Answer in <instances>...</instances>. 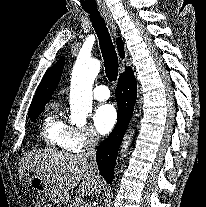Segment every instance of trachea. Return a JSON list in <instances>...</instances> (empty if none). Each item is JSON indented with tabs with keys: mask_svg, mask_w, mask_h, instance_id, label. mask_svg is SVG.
Masks as SVG:
<instances>
[{
	"mask_svg": "<svg viewBox=\"0 0 206 207\" xmlns=\"http://www.w3.org/2000/svg\"><path fill=\"white\" fill-rule=\"evenodd\" d=\"M95 29L104 59L105 73L109 81H116L118 76V57L104 19L98 11H87Z\"/></svg>",
	"mask_w": 206,
	"mask_h": 207,
	"instance_id": "obj_1",
	"label": "trachea"
}]
</instances>
